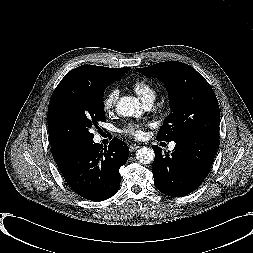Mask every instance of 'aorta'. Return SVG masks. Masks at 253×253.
<instances>
[{
    "label": "aorta",
    "instance_id": "aorta-1",
    "mask_svg": "<svg viewBox=\"0 0 253 253\" xmlns=\"http://www.w3.org/2000/svg\"><path fill=\"white\" fill-rule=\"evenodd\" d=\"M117 112L124 117H140L142 114L139 100L132 96L121 97L116 105ZM155 157L153 149L142 147L136 152V158L142 164H150Z\"/></svg>",
    "mask_w": 253,
    "mask_h": 253
}]
</instances>
